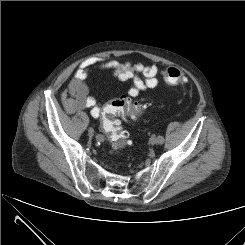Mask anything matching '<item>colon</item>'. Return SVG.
<instances>
[{
  "label": "colon",
  "mask_w": 245,
  "mask_h": 245,
  "mask_svg": "<svg viewBox=\"0 0 245 245\" xmlns=\"http://www.w3.org/2000/svg\"><path fill=\"white\" fill-rule=\"evenodd\" d=\"M164 79L168 84L180 85L186 82L184 73L175 67L164 71ZM147 107L144 99L120 97L108 102L102 111V127L110 141L112 152L123 150L128 145L129 134L120 125L118 117L133 119L140 116Z\"/></svg>",
  "instance_id": "colon-1"
}]
</instances>
